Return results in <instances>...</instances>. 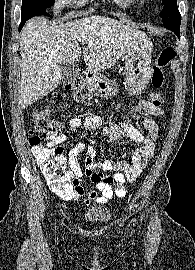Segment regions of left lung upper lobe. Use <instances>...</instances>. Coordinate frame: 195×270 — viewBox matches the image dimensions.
<instances>
[{
    "instance_id": "5c2ea615",
    "label": "left lung upper lobe",
    "mask_w": 195,
    "mask_h": 270,
    "mask_svg": "<svg viewBox=\"0 0 195 270\" xmlns=\"http://www.w3.org/2000/svg\"><path fill=\"white\" fill-rule=\"evenodd\" d=\"M164 8L161 12L163 25L173 32L180 31L181 15L176 0H162Z\"/></svg>"
}]
</instances>
